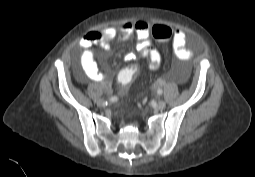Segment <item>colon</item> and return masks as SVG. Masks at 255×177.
Listing matches in <instances>:
<instances>
[{
    "mask_svg": "<svg viewBox=\"0 0 255 177\" xmlns=\"http://www.w3.org/2000/svg\"><path fill=\"white\" fill-rule=\"evenodd\" d=\"M151 32L153 37L160 41L168 40L172 36L171 28L166 25H154ZM138 69L137 65H131L120 71L118 81L122 87L126 88L130 84Z\"/></svg>",
    "mask_w": 255,
    "mask_h": 177,
    "instance_id": "colon-1",
    "label": "colon"
}]
</instances>
